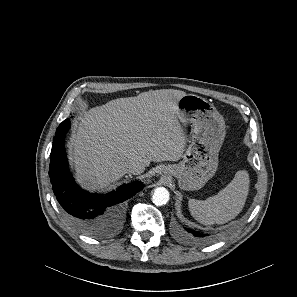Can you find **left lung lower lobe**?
<instances>
[{
  "mask_svg": "<svg viewBox=\"0 0 297 297\" xmlns=\"http://www.w3.org/2000/svg\"><path fill=\"white\" fill-rule=\"evenodd\" d=\"M179 235L190 242H203L209 239V234L194 231L188 228L179 229Z\"/></svg>",
  "mask_w": 297,
  "mask_h": 297,
  "instance_id": "obj_1",
  "label": "left lung lower lobe"
}]
</instances>
